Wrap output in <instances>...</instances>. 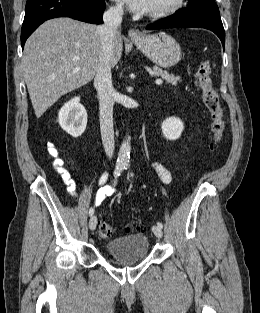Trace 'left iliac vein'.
Wrapping results in <instances>:
<instances>
[{
  "label": "left iliac vein",
  "mask_w": 260,
  "mask_h": 313,
  "mask_svg": "<svg viewBox=\"0 0 260 313\" xmlns=\"http://www.w3.org/2000/svg\"><path fill=\"white\" fill-rule=\"evenodd\" d=\"M152 231L155 234L156 237L158 238H162L163 236V232H162V228L159 227L158 225H153L152 226Z\"/></svg>",
  "instance_id": "left-iliac-vein-1"
}]
</instances>
